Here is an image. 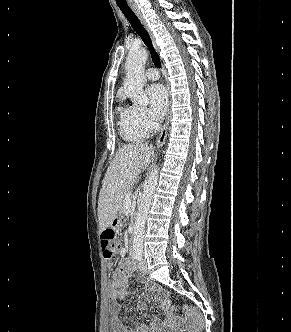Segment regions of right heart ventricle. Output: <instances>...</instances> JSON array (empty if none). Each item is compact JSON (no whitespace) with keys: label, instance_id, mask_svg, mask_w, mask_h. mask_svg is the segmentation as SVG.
<instances>
[{"label":"right heart ventricle","instance_id":"1","mask_svg":"<svg viewBox=\"0 0 291 332\" xmlns=\"http://www.w3.org/2000/svg\"><path fill=\"white\" fill-rule=\"evenodd\" d=\"M120 119V133L127 141H137L143 139L147 133L138 129L133 122V106L120 104L117 107Z\"/></svg>","mask_w":291,"mask_h":332}]
</instances>
